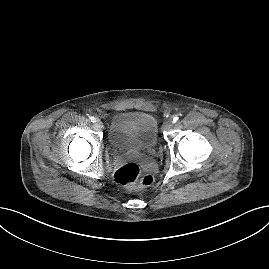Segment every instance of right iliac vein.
<instances>
[{"instance_id":"obj_1","label":"right iliac vein","mask_w":269,"mask_h":269,"mask_svg":"<svg viewBox=\"0 0 269 269\" xmlns=\"http://www.w3.org/2000/svg\"><path fill=\"white\" fill-rule=\"evenodd\" d=\"M94 124H95V126L97 128H102L103 127V124H102V122L99 119L95 120V123Z\"/></svg>"}]
</instances>
